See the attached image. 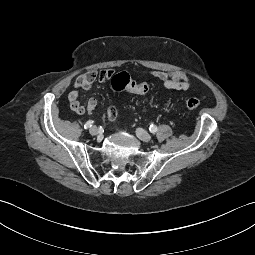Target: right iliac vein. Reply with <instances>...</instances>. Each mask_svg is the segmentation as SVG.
<instances>
[{
    "mask_svg": "<svg viewBox=\"0 0 255 255\" xmlns=\"http://www.w3.org/2000/svg\"><path fill=\"white\" fill-rule=\"evenodd\" d=\"M89 132H90V134L93 135V136L99 134V130H98V128H97L96 126L91 127L90 130H89Z\"/></svg>",
    "mask_w": 255,
    "mask_h": 255,
    "instance_id": "63e3f726",
    "label": "right iliac vein"
}]
</instances>
